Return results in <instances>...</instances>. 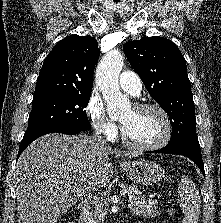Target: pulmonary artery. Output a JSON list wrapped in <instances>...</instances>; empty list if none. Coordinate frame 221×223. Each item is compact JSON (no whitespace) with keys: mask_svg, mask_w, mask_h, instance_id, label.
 <instances>
[{"mask_svg":"<svg viewBox=\"0 0 221 223\" xmlns=\"http://www.w3.org/2000/svg\"><path fill=\"white\" fill-rule=\"evenodd\" d=\"M119 85L124 91L134 96L139 95L142 88L140 77L131 71H124L121 73Z\"/></svg>","mask_w":221,"mask_h":223,"instance_id":"1","label":"pulmonary artery"}]
</instances>
